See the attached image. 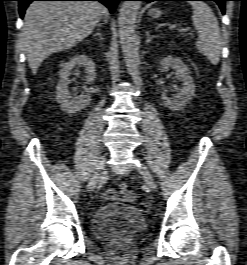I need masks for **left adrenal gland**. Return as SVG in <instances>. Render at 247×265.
Listing matches in <instances>:
<instances>
[{"label": "left adrenal gland", "instance_id": "left-adrenal-gland-1", "mask_svg": "<svg viewBox=\"0 0 247 265\" xmlns=\"http://www.w3.org/2000/svg\"><path fill=\"white\" fill-rule=\"evenodd\" d=\"M146 36H147V40H146L147 44L150 43L152 41V39L156 37L155 35H150L149 30L146 31Z\"/></svg>", "mask_w": 247, "mask_h": 265}]
</instances>
